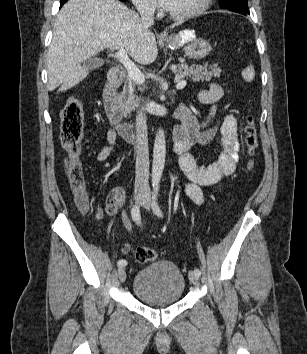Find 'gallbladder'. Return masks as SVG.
Instances as JSON below:
<instances>
[{"instance_id": "gallbladder-1", "label": "gallbladder", "mask_w": 307, "mask_h": 354, "mask_svg": "<svg viewBox=\"0 0 307 354\" xmlns=\"http://www.w3.org/2000/svg\"><path fill=\"white\" fill-rule=\"evenodd\" d=\"M82 64L85 67H87L88 69H94V68L102 65L103 64V60L94 57V58L88 59L87 61H84Z\"/></svg>"}]
</instances>
